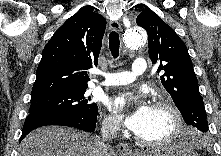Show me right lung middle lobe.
I'll use <instances>...</instances> for the list:
<instances>
[{"mask_svg":"<svg viewBox=\"0 0 221 156\" xmlns=\"http://www.w3.org/2000/svg\"><path fill=\"white\" fill-rule=\"evenodd\" d=\"M86 89L66 91L31 100L29 114L97 115V104L90 103Z\"/></svg>","mask_w":221,"mask_h":156,"instance_id":"obj_1","label":"right lung middle lobe"}]
</instances>
